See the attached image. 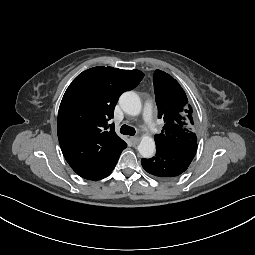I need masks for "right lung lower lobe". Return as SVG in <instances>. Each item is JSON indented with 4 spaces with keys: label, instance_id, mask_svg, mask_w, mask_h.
Segmentation results:
<instances>
[{
    "label": "right lung lower lobe",
    "instance_id": "right-lung-lower-lobe-1",
    "mask_svg": "<svg viewBox=\"0 0 255 255\" xmlns=\"http://www.w3.org/2000/svg\"><path fill=\"white\" fill-rule=\"evenodd\" d=\"M117 161H118V159H116L108 168H106L105 170L100 172L98 175H96L95 177H93L89 180H100V179H103V178L107 177L108 175H110V173L115 168Z\"/></svg>",
    "mask_w": 255,
    "mask_h": 255
}]
</instances>
